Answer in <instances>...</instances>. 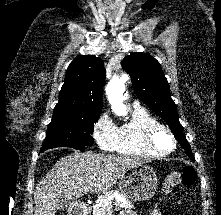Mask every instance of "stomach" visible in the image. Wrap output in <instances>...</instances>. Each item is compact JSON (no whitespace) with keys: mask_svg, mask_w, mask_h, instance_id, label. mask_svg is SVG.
Here are the masks:
<instances>
[{"mask_svg":"<svg viewBox=\"0 0 221 215\" xmlns=\"http://www.w3.org/2000/svg\"><path fill=\"white\" fill-rule=\"evenodd\" d=\"M119 190L128 199L145 201L153 197L158 188L154 169L140 164L127 170L119 180Z\"/></svg>","mask_w":221,"mask_h":215,"instance_id":"1","label":"stomach"}]
</instances>
